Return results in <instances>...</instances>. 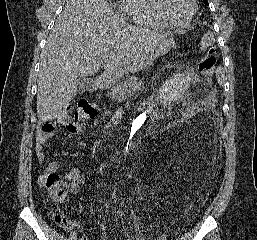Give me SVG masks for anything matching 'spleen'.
<instances>
[{"mask_svg": "<svg viewBox=\"0 0 257 240\" xmlns=\"http://www.w3.org/2000/svg\"><path fill=\"white\" fill-rule=\"evenodd\" d=\"M222 72H223V69L221 67H219L218 71H217V76H218L219 80H222Z\"/></svg>", "mask_w": 257, "mask_h": 240, "instance_id": "1", "label": "spleen"}]
</instances>
